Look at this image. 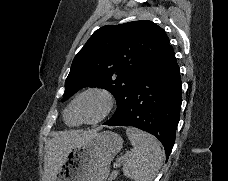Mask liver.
Listing matches in <instances>:
<instances>
[{"label": "liver", "mask_w": 228, "mask_h": 181, "mask_svg": "<svg viewBox=\"0 0 228 181\" xmlns=\"http://www.w3.org/2000/svg\"><path fill=\"white\" fill-rule=\"evenodd\" d=\"M93 135H96V131H83L82 135H79V131L52 133L53 139L46 145L44 155V169L48 181H55L71 149L79 143H85Z\"/></svg>", "instance_id": "1"}]
</instances>
